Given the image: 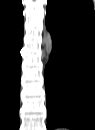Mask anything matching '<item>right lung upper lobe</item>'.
<instances>
[{
  "label": "right lung upper lobe",
  "instance_id": "1",
  "mask_svg": "<svg viewBox=\"0 0 95 130\" xmlns=\"http://www.w3.org/2000/svg\"><path fill=\"white\" fill-rule=\"evenodd\" d=\"M21 0L0 1V36L11 34L23 26Z\"/></svg>",
  "mask_w": 95,
  "mask_h": 130
}]
</instances>
